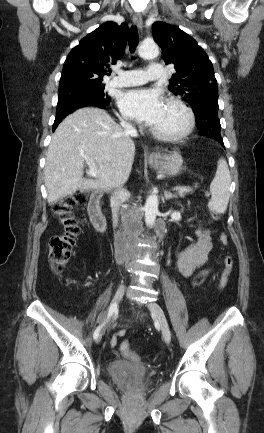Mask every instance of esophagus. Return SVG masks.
Here are the masks:
<instances>
[{
  "label": "esophagus",
  "mask_w": 264,
  "mask_h": 433,
  "mask_svg": "<svg viewBox=\"0 0 264 433\" xmlns=\"http://www.w3.org/2000/svg\"><path fill=\"white\" fill-rule=\"evenodd\" d=\"M133 22H134V24H135L139 29H142V27H143V21H142V16H141L140 13H135V14L133 15ZM156 157H157V154H156L155 152H151V153L149 154V159H150V160H153V159H155Z\"/></svg>",
  "instance_id": "esophagus-1"
}]
</instances>
